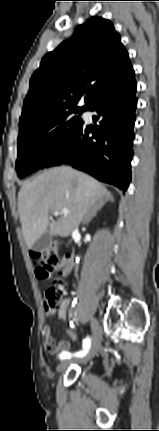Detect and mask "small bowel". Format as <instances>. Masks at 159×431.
<instances>
[{
    "label": "small bowel",
    "mask_w": 159,
    "mask_h": 431,
    "mask_svg": "<svg viewBox=\"0 0 159 431\" xmlns=\"http://www.w3.org/2000/svg\"><path fill=\"white\" fill-rule=\"evenodd\" d=\"M73 264L71 260L68 257H65L60 264L57 266L58 273L62 276H67L70 271L72 270ZM70 301L68 299H65L59 309H58V317L60 320H65L67 316V309L69 306ZM68 328L64 329V332ZM42 336L45 345L47 346V350L50 355H60L63 352H68L70 348V343L66 340H61L57 344H54L51 328L48 325H44L42 329Z\"/></svg>",
    "instance_id": "obj_1"
}]
</instances>
